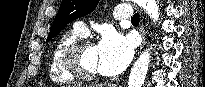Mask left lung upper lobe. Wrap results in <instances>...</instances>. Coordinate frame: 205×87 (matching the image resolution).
I'll return each instance as SVG.
<instances>
[{"label":"left lung upper lobe","instance_id":"1","mask_svg":"<svg viewBox=\"0 0 205 87\" xmlns=\"http://www.w3.org/2000/svg\"><path fill=\"white\" fill-rule=\"evenodd\" d=\"M98 2L99 0H62L46 42L56 36L69 22L92 12Z\"/></svg>","mask_w":205,"mask_h":87}]
</instances>
